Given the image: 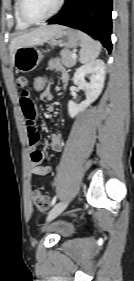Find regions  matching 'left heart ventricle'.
Listing matches in <instances>:
<instances>
[{
    "mask_svg": "<svg viewBox=\"0 0 134 281\" xmlns=\"http://www.w3.org/2000/svg\"><path fill=\"white\" fill-rule=\"evenodd\" d=\"M59 0H24V10L32 18H41L51 13Z\"/></svg>",
    "mask_w": 134,
    "mask_h": 281,
    "instance_id": "left-heart-ventricle-1",
    "label": "left heart ventricle"
}]
</instances>
